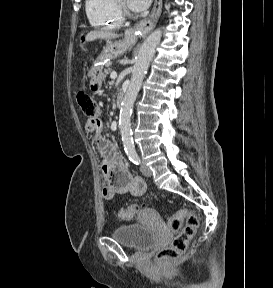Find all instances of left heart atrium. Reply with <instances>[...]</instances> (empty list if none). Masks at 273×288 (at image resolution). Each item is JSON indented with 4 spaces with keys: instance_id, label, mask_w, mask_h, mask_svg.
<instances>
[{
    "instance_id": "obj_1",
    "label": "left heart atrium",
    "mask_w": 273,
    "mask_h": 288,
    "mask_svg": "<svg viewBox=\"0 0 273 288\" xmlns=\"http://www.w3.org/2000/svg\"><path fill=\"white\" fill-rule=\"evenodd\" d=\"M151 0H127L128 7L134 12H142L148 8Z\"/></svg>"
}]
</instances>
